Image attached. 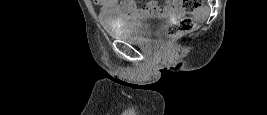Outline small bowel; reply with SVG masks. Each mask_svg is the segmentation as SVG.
<instances>
[{"instance_id":"small-bowel-1","label":"small bowel","mask_w":267,"mask_h":115,"mask_svg":"<svg viewBox=\"0 0 267 115\" xmlns=\"http://www.w3.org/2000/svg\"><path fill=\"white\" fill-rule=\"evenodd\" d=\"M97 3L104 11L118 10L121 16L128 20H135L141 15L151 13L171 16L178 14L181 10L180 3L178 1H167L163 6L155 1L148 2L142 6L133 0H99Z\"/></svg>"}]
</instances>
